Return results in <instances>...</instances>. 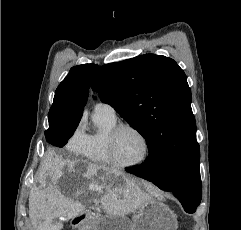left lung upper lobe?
<instances>
[{
  "label": "left lung upper lobe",
  "instance_id": "left-lung-upper-lobe-1",
  "mask_svg": "<svg viewBox=\"0 0 241 230\" xmlns=\"http://www.w3.org/2000/svg\"><path fill=\"white\" fill-rule=\"evenodd\" d=\"M92 89L145 138L149 155L169 161L172 188L199 167L200 150L184 71L168 57L145 54L102 66Z\"/></svg>",
  "mask_w": 241,
  "mask_h": 230
}]
</instances>
